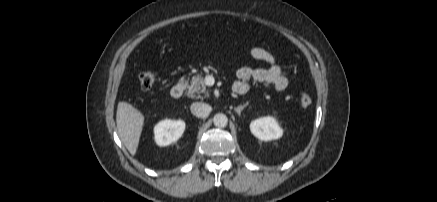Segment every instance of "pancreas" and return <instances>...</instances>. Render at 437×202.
Masks as SVG:
<instances>
[{
  "label": "pancreas",
  "mask_w": 437,
  "mask_h": 202,
  "mask_svg": "<svg viewBox=\"0 0 437 202\" xmlns=\"http://www.w3.org/2000/svg\"><path fill=\"white\" fill-rule=\"evenodd\" d=\"M187 85V96L190 98L202 99L208 97V91L206 89L204 78L201 75H197L192 78L190 84L188 81H182Z\"/></svg>",
  "instance_id": "cf45deb5"
}]
</instances>
